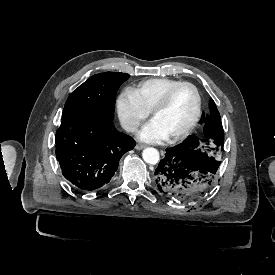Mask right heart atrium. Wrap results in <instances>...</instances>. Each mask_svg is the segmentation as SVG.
Segmentation results:
<instances>
[{"label":"right heart atrium","instance_id":"1","mask_svg":"<svg viewBox=\"0 0 275 275\" xmlns=\"http://www.w3.org/2000/svg\"><path fill=\"white\" fill-rule=\"evenodd\" d=\"M119 118L128 132L137 130L148 118L150 111L142 104L134 90L127 89L117 101Z\"/></svg>","mask_w":275,"mask_h":275}]
</instances>
